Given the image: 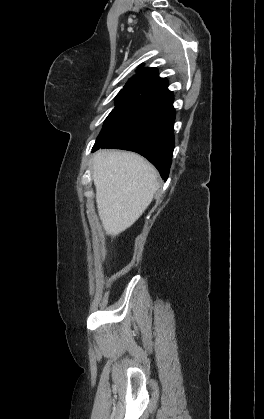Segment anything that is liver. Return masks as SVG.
Instances as JSON below:
<instances>
[{"label":"liver","instance_id":"6515ba94","mask_svg":"<svg viewBox=\"0 0 264 419\" xmlns=\"http://www.w3.org/2000/svg\"><path fill=\"white\" fill-rule=\"evenodd\" d=\"M92 179L103 229L112 237L134 224L158 190L156 169L133 152L98 151Z\"/></svg>","mask_w":264,"mask_h":419}]
</instances>
